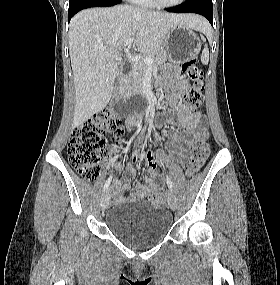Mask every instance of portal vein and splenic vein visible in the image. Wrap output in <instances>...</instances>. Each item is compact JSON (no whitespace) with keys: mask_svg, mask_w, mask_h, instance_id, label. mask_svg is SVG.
<instances>
[{"mask_svg":"<svg viewBox=\"0 0 280 285\" xmlns=\"http://www.w3.org/2000/svg\"><path fill=\"white\" fill-rule=\"evenodd\" d=\"M134 41H135V38H130V39L126 40L123 44V47L131 46ZM144 63L146 65L150 66L153 63V59L151 57H146L144 59Z\"/></svg>","mask_w":280,"mask_h":285,"instance_id":"18ae733b","label":"portal vein and splenic vein"}]
</instances>
